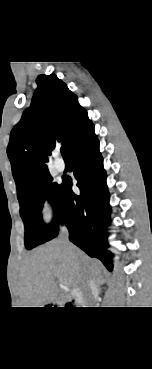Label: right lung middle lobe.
I'll use <instances>...</instances> for the list:
<instances>
[{
  "instance_id": "obj_1",
  "label": "right lung middle lobe",
  "mask_w": 152,
  "mask_h": 369,
  "mask_svg": "<svg viewBox=\"0 0 152 369\" xmlns=\"http://www.w3.org/2000/svg\"><path fill=\"white\" fill-rule=\"evenodd\" d=\"M50 174L27 189L18 199L20 215L25 226V247L32 249L51 240L58 229L59 216L57 211L58 200L62 184L54 183ZM54 205V219L50 225L42 220L41 210L45 200Z\"/></svg>"
}]
</instances>
